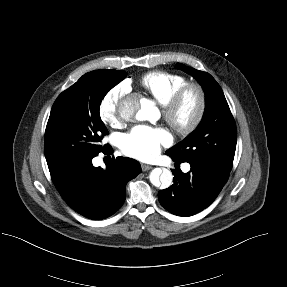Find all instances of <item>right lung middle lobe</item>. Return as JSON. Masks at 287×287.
I'll return each instance as SVG.
<instances>
[{
    "label": "right lung middle lobe",
    "instance_id": "dd1d6c3e",
    "mask_svg": "<svg viewBox=\"0 0 287 287\" xmlns=\"http://www.w3.org/2000/svg\"><path fill=\"white\" fill-rule=\"evenodd\" d=\"M125 76V71H91L58 96L45 131L44 151L50 171L97 155L107 146L101 145L108 131L100 119V104Z\"/></svg>",
    "mask_w": 287,
    "mask_h": 287
}]
</instances>
